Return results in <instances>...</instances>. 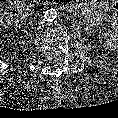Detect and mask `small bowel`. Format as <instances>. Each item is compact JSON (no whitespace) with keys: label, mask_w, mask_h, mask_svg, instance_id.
Masks as SVG:
<instances>
[{"label":"small bowel","mask_w":118,"mask_h":118,"mask_svg":"<svg viewBox=\"0 0 118 118\" xmlns=\"http://www.w3.org/2000/svg\"><path fill=\"white\" fill-rule=\"evenodd\" d=\"M109 8L108 2L105 0H88L78 5V9L83 15L95 26H101L103 23V15ZM112 30L107 39L108 46L114 48L118 44V10L112 15Z\"/></svg>","instance_id":"small-bowel-1"}]
</instances>
